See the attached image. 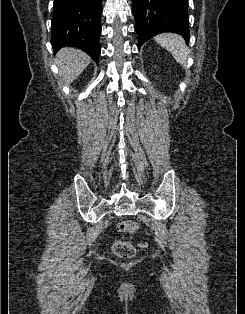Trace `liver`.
Masks as SVG:
<instances>
[{
    "mask_svg": "<svg viewBox=\"0 0 245 314\" xmlns=\"http://www.w3.org/2000/svg\"><path fill=\"white\" fill-rule=\"evenodd\" d=\"M91 58L79 49L67 47L56 54L60 83L71 84L89 65Z\"/></svg>",
    "mask_w": 245,
    "mask_h": 314,
    "instance_id": "obj_1",
    "label": "liver"
}]
</instances>
